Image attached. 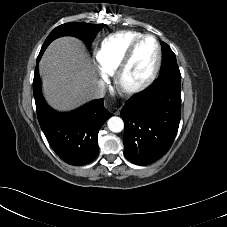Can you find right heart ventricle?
<instances>
[{"instance_id":"e07e8e85","label":"right heart ventricle","mask_w":227,"mask_h":227,"mask_svg":"<svg viewBox=\"0 0 227 227\" xmlns=\"http://www.w3.org/2000/svg\"><path fill=\"white\" fill-rule=\"evenodd\" d=\"M142 35L134 30H123L105 37L96 51V59L108 74L115 73L132 42Z\"/></svg>"}]
</instances>
